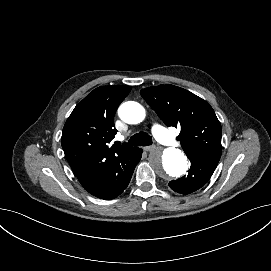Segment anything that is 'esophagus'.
I'll list each match as a JSON object with an SVG mask.
<instances>
[{"instance_id":"obj_1","label":"esophagus","mask_w":271,"mask_h":271,"mask_svg":"<svg viewBox=\"0 0 271 271\" xmlns=\"http://www.w3.org/2000/svg\"><path fill=\"white\" fill-rule=\"evenodd\" d=\"M143 149H144V151L151 152L156 149V146L155 145L147 146V147H144Z\"/></svg>"}]
</instances>
